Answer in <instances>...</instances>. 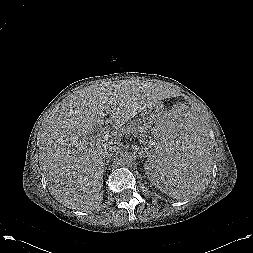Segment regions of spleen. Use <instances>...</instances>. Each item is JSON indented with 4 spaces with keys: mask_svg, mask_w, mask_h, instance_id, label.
<instances>
[{
    "mask_svg": "<svg viewBox=\"0 0 253 253\" xmlns=\"http://www.w3.org/2000/svg\"><path fill=\"white\" fill-rule=\"evenodd\" d=\"M144 172L175 199L199 193L211 168L209 141L198 118L176 109L153 123L145 146Z\"/></svg>",
    "mask_w": 253,
    "mask_h": 253,
    "instance_id": "obj_1",
    "label": "spleen"
}]
</instances>
